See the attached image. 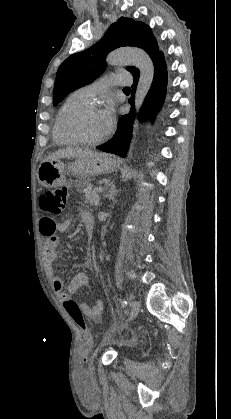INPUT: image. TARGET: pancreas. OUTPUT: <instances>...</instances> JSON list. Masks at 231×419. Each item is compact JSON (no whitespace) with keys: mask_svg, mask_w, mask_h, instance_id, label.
Returning a JSON list of instances; mask_svg holds the SVG:
<instances>
[{"mask_svg":"<svg viewBox=\"0 0 231 419\" xmlns=\"http://www.w3.org/2000/svg\"><path fill=\"white\" fill-rule=\"evenodd\" d=\"M86 204H91L93 206H98L100 203V196L98 195V192L96 188H88V190L85 193V201Z\"/></svg>","mask_w":231,"mask_h":419,"instance_id":"cf45deb5","label":"pancreas"}]
</instances>
